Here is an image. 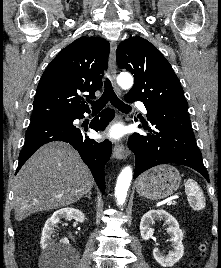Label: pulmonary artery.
<instances>
[{
  "mask_svg": "<svg viewBox=\"0 0 221 268\" xmlns=\"http://www.w3.org/2000/svg\"><path fill=\"white\" fill-rule=\"evenodd\" d=\"M136 106L144 113L147 114V109L142 102H136Z\"/></svg>",
  "mask_w": 221,
  "mask_h": 268,
  "instance_id": "1",
  "label": "pulmonary artery"
}]
</instances>
